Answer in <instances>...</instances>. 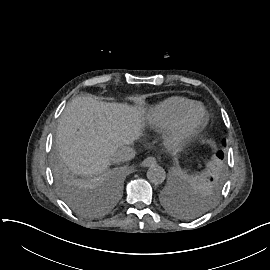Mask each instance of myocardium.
<instances>
[{
	"mask_svg": "<svg viewBox=\"0 0 270 270\" xmlns=\"http://www.w3.org/2000/svg\"><path fill=\"white\" fill-rule=\"evenodd\" d=\"M197 109L201 110L202 115L198 120L192 121L191 115ZM207 121L208 113L206 108L202 104H194L164 132L163 138L175 148H183L201 131Z\"/></svg>",
	"mask_w": 270,
	"mask_h": 270,
	"instance_id": "1",
	"label": "myocardium"
}]
</instances>
